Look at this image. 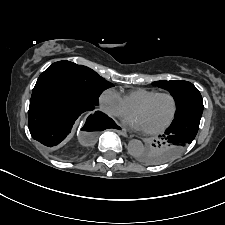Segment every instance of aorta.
<instances>
[{
	"mask_svg": "<svg viewBox=\"0 0 225 225\" xmlns=\"http://www.w3.org/2000/svg\"><path fill=\"white\" fill-rule=\"evenodd\" d=\"M128 153L132 156H138L144 151V145L140 140H130L127 146Z\"/></svg>",
	"mask_w": 225,
	"mask_h": 225,
	"instance_id": "aorta-1",
	"label": "aorta"
}]
</instances>
